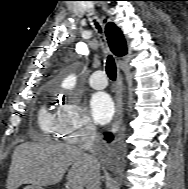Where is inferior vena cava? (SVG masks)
<instances>
[{"instance_id": "obj_1", "label": "inferior vena cava", "mask_w": 188, "mask_h": 189, "mask_svg": "<svg viewBox=\"0 0 188 189\" xmlns=\"http://www.w3.org/2000/svg\"><path fill=\"white\" fill-rule=\"evenodd\" d=\"M96 138V127L93 123H89L81 131V140L79 148L90 154H87L90 162L93 164V172L89 178L86 189H100V172L98 168V161L95 157L96 151L94 142ZM86 154V153H85Z\"/></svg>"}]
</instances>
